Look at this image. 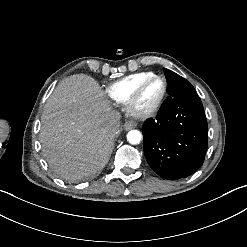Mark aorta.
Listing matches in <instances>:
<instances>
[{
    "mask_svg": "<svg viewBox=\"0 0 247 247\" xmlns=\"http://www.w3.org/2000/svg\"><path fill=\"white\" fill-rule=\"evenodd\" d=\"M142 139V135L138 130H131L127 134V140L131 144H139Z\"/></svg>",
    "mask_w": 247,
    "mask_h": 247,
    "instance_id": "obj_1",
    "label": "aorta"
}]
</instances>
